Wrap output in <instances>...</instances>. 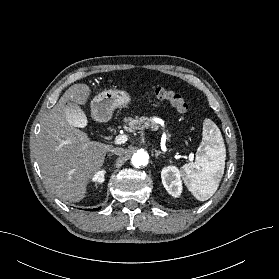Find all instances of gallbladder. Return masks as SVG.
Wrapping results in <instances>:
<instances>
[{"label":"gallbladder","instance_id":"bac80fb5","mask_svg":"<svg viewBox=\"0 0 279 279\" xmlns=\"http://www.w3.org/2000/svg\"><path fill=\"white\" fill-rule=\"evenodd\" d=\"M65 111L68 120L75 126L77 127H84L86 122H85V117L79 106H77L74 103H68L65 106Z\"/></svg>","mask_w":279,"mask_h":279}]
</instances>
